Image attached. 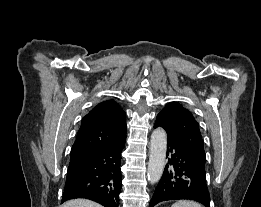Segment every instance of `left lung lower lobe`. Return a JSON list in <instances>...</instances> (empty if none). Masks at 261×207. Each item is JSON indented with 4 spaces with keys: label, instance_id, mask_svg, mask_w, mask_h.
<instances>
[{
    "label": "left lung lower lobe",
    "instance_id": "left-lung-lower-lobe-1",
    "mask_svg": "<svg viewBox=\"0 0 261 207\" xmlns=\"http://www.w3.org/2000/svg\"><path fill=\"white\" fill-rule=\"evenodd\" d=\"M158 125H154V128ZM167 156L171 158L154 191L149 207L167 200L189 199L210 207L205 164L199 162L178 144L168 139Z\"/></svg>",
    "mask_w": 261,
    "mask_h": 207
}]
</instances>
